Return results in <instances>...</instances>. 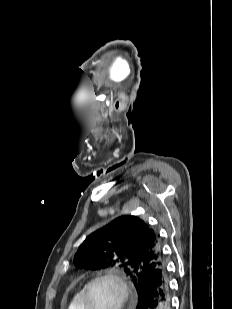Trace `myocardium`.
I'll return each mask as SVG.
<instances>
[{
    "mask_svg": "<svg viewBox=\"0 0 232 309\" xmlns=\"http://www.w3.org/2000/svg\"><path fill=\"white\" fill-rule=\"evenodd\" d=\"M100 280H110L119 287L120 301L116 309H125L131 296V289L125 278L116 271H105L98 273L85 284L82 293L83 309H91V306L89 304V291L92 285Z\"/></svg>",
    "mask_w": 232,
    "mask_h": 309,
    "instance_id": "myocardium-1",
    "label": "myocardium"
}]
</instances>
